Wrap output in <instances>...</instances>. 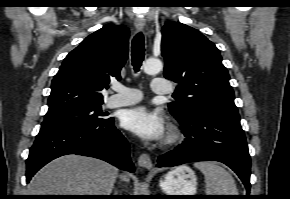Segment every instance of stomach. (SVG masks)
Returning <instances> with one entry per match:
<instances>
[{"label": "stomach", "instance_id": "1", "mask_svg": "<svg viewBox=\"0 0 290 199\" xmlns=\"http://www.w3.org/2000/svg\"><path fill=\"white\" fill-rule=\"evenodd\" d=\"M160 186L167 195H194L197 178L188 166L183 165L169 172Z\"/></svg>", "mask_w": 290, "mask_h": 199}]
</instances>
